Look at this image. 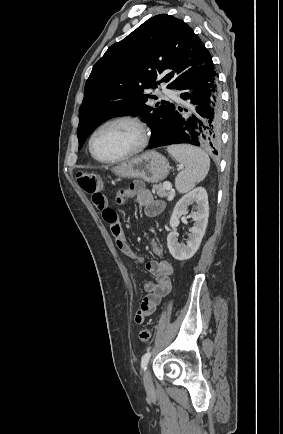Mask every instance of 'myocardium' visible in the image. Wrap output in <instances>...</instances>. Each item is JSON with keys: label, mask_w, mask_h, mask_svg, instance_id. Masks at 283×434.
Returning <instances> with one entry per match:
<instances>
[{"label": "myocardium", "mask_w": 283, "mask_h": 434, "mask_svg": "<svg viewBox=\"0 0 283 434\" xmlns=\"http://www.w3.org/2000/svg\"><path fill=\"white\" fill-rule=\"evenodd\" d=\"M120 122L129 123L137 129V131L139 133V140H138L137 145L135 146V148H133L128 153H126L122 156L116 157V158L105 159V158L99 157L93 148V141H94L96 134L104 127L111 125V124H114V123H120ZM149 140H150V130H149L147 123L141 117H139L137 115L123 114V115H118V116H114L112 118H109V119L103 121L101 124H99L93 130V132L91 133V135L89 137L88 148H89L90 154L92 155V157L94 159H96L97 161H99L101 163L112 164V163H118V162L124 161L126 159H129V158L139 154L147 147Z\"/></svg>", "instance_id": "myocardium-1"}]
</instances>
